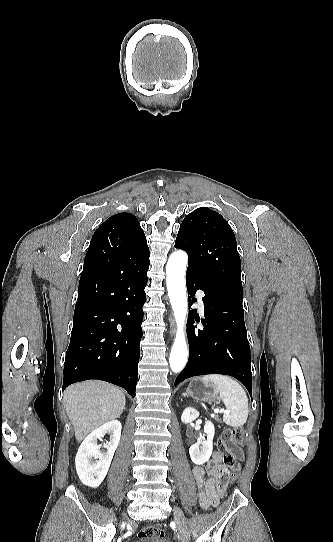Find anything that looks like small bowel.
Listing matches in <instances>:
<instances>
[{
	"label": "small bowel",
	"mask_w": 333,
	"mask_h": 542,
	"mask_svg": "<svg viewBox=\"0 0 333 542\" xmlns=\"http://www.w3.org/2000/svg\"><path fill=\"white\" fill-rule=\"evenodd\" d=\"M224 463V455L216 451L204 467L195 466L192 470L198 487L199 503L204 510L217 506L224 493L220 490L221 482L230 476Z\"/></svg>",
	"instance_id": "obj_1"
}]
</instances>
